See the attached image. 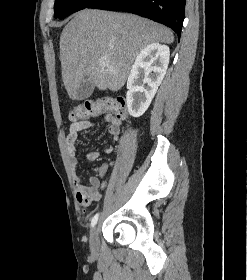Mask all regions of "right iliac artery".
Segmentation results:
<instances>
[{
  "label": "right iliac artery",
  "mask_w": 247,
  "mask_h": 280,
  "mask_svg": "<svg viewBox=\"0 0 247 280\" xmlns=\"http://www.w3.org/2000/svg\"><path fill=\"white\" fill-rule=\"evenodd\" d=\"M99 213H97L91 220V227H94L98 221Z\"/></svg>",
  "instance_id": "82829eb1"
}]
</instances>
